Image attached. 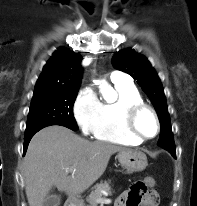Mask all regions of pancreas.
<instances>
[{
  "instance_id": "obj_1",
  "label": "pancreas",
  "mask_w": 197,
  "mask_h": 206,
  "mask_svg": "<svg viewBox=\"0 0 197 206\" xmlns=\"http://www.w3.org/2000/svg\"><path fill=\"white\" fill-rule=\"evenodd\" d=\"M110 182L104 181L95 185L94 190L91 191L87 197L88 206H97L102 199V191L110 192Z\"/></svg>"
}]
</instances>
